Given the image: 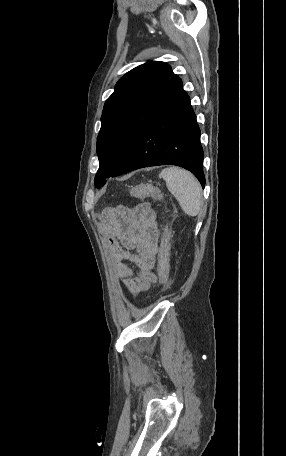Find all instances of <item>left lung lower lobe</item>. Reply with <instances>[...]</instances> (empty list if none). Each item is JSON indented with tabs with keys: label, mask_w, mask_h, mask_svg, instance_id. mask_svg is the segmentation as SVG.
<instances>
[{
	"label": "left lung lower lobe",
	"mask_w": 286,
	"mask_h": 456,
	"mask_svg": "<svg viewBox=\"0 0 286 456\" xmlns=\"http://www.w3.org/2000/svg\"><path fill=\"white\" fill-rule=\"evenodd\" d=\"M200 129L188 94L181 90L137 136L113 177L143 167L176 165L205 186Z\"/></svg>",
	"instance_id": "0a47b994"
}]
</instances>
